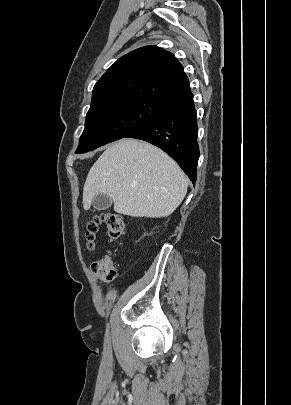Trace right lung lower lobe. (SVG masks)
I'll list each match as a JSON object with an SVG mask.
<instances>
[{
    "label": "right lung lower lobe",
    "instance_id": "right-lung-lower-lobe-1",
    "mask_svg": "<svg viewBox=\"0 0 291 405\" xmlns=\"http://www.w3.org/2000/svg\"><path fill=\"white\" fill-rule=\"evenodd\" d=\"M196 110L191 90L170 100L149 122L125 138L147 141L170 155L195 183L199 146Z\"/></svg>",
    "mask_w": 291,
    "mask_h": 405
}]
</instances>
